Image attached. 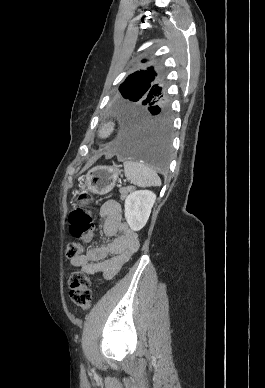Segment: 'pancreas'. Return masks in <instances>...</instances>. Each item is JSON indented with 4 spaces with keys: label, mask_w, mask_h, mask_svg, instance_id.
I'll return each instance as SVG.
<instances>
[{
    "label": "pancreas",
    "mask_w": 265,
    "mask_h": 388,
    "mask_svg": "<svg viewBox=\"0 0 265 388\" xmlns=\"http://www.w3.org/2000/svg\"><path fill=\"white\" fill-rule=\"evenodd\" d=\"M133 188H120L119 192L120 194H122L121 196V200H123V198H125V196H127V194H129V192H132Z\"/></svg>",
    "instance_id": "pancreas-1"
}]
</instances>
